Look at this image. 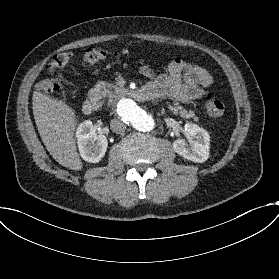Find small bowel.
<instances>
[{
  "instance_id": "1",
  "label": "small bowel",
  "mask_w": 279,
  "mask_h": 279,
  "mask_svg": "<svg viewBox=\"0 0 279 279\" xmlns=\"http://www.w3.org/2000/svg\"><path fill=\"white\" fill-rule=\"evenodd\" d=\"M140 71L151 78L140 94L153 101L168 97L190 103L203 97L205 88L212 82V76L206 69L180 58L171 62L165 72H157L149 65H142Z\"/></svg>"
}]
</instances>
